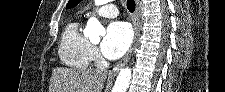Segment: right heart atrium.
Instances as JSON below:
<instances>
[{
    "label": "right heart atrium",
    "mask_w": 225,
    "mask_h": 92,
    "mask_svg": "<svg viewBox=\"0 0 225 92\" xmlns=\"http://www.w3.org/2000/svg\"><path fill=\"white\" fill-rule=\"evenodd\" d=\"M92 60L95 63L100 62V55H99L98 49L95 46H93V49H92Z\"/></svg>",
    "instance_id": "right-heart-atrium-1"
}]
</instances>
